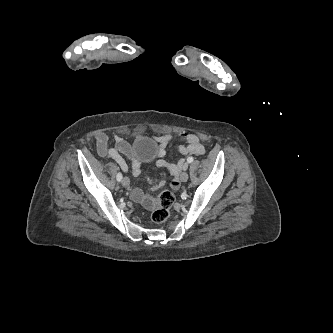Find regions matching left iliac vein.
Instances as JSON below:
<instances>
[{
	"mask_svg": "<svg viewBox=\"0 0 333 333\" xmlns=\"http://www.w3.org/2000/svg\"><path fill=\"white\" fill-rule=\"evenodd\" d=\"M188 173L187 172H182L181 174H180V180L182 181V182H186L187 180H188Z\"/></svg>",
	"mask_w": 333,
	"mask_h": 333,
	"instance_id": "obj_1",
	"label": "left iliac vein"
}]
</instances>
